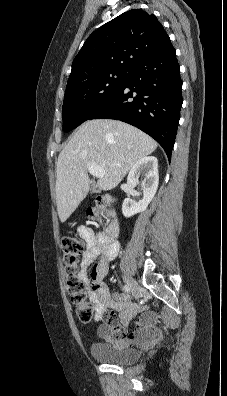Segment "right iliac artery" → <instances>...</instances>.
<instances>
[{
  "label": "right iliac artery",
  "mask_w": 227,
  "mask_h": 396,
  "mask_svg": "<svg viewBox=\"0 0 227 396\" xmlns=\"http://www.w3.org/2000/svg\"><path fill=\"white\" fill-rule=\"evenodd\" d=\"M123 290H124L125 292L129 293V292H130V287H129L128 285H124V286H123Z\"/></svg>",
  "instance_id": "right-iliac-artery-1"
}]
</instances>
